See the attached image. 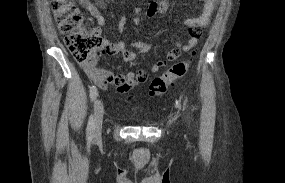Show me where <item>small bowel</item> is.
<instances>
[{
  "mask_svg": "<svg viewBox=\"0 0 285 183\" xmlns=\"http://www.w3.org/2000/svg\"><path fill=\"white\" fill-rule=\"evenodd\" d=\"M80 4L90 13L97 21L100 27L106 24L105 16L102 9L107 6V0H79ZM203 8L199 15L189 17L184 21L185 26L189 29V38L186 43L177 42L176 48L167 52L165 59H159L152 62L149 71L151 73L158 72L168 63L174 62L180 58L182 53L190 51L194 48L200 38L201 32L211 22L217 0H202ZM168 2L166 0H152V4L147 10L149 17L164 15L168 10ZM125 20L121 19L118 30L122 33L125 29ZM151 45L146 42H124L110 41L106 38L102 39V45L95 55L88 61L81 64L85 74L92 79L102 90H108L109 86H113L118 94L124 95L125 100L130 101L134 95L132 90L140 87L141 84L148 80V73L145 70L136 72L115 73L108 69L98 68L97 60L102 55H118L126 63H132L140 54L148 53Z\"/></svg>",
  "mask_w": 285,
  "mask_h": 183,
  "instance_id": "1",
  "label": "small bowel"
}]
</instances>
